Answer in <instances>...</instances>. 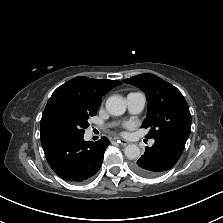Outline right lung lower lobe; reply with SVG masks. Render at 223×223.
I'll list each match as a JSON object with an SVG mask.
<instances>
[{
	"label": "right lung lower lobe",
	"mask_w": 223,
	"mask_h": 223,
	"mask_svg": "<svg viewBox=\"0 0 223 223\" xmlns=\"http://www.w3.org/2000/svg\"><path fill=\"white\" fill-rule=\"evenodd\" d=\"M109 144L106 137L96 142H85L83 136H69L54 137L42 147L49 165L60 178L79 183L98 172Z\"/></svg>",
	"instance_id": "obj_1"
}]
</instances>
